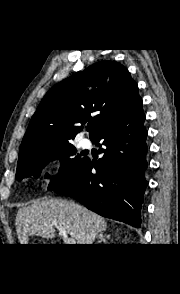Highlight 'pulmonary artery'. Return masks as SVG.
Instances as JSON below:
<instances>
[{
    "label": "pulmonary artery",
    "mask_w": 180,
    "mask_h": 294,
    "mask_svg": "<svg viewBox=\"0 0 180 294\" xmlns=\"http://www.w3.org/2000/svg\"><path fill=\"white\" fill-rule=\"evenodd\" d=\"M81 144L83 147H87L90 145V140L85 138L82 140Z\"/></svg>",
    "instance_id": "1"
}]
</instances>
